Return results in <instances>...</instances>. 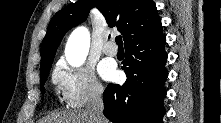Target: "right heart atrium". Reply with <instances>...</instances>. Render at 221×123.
<instances>
[{
  "label": "right heart atrium",
  "mask_w": 221,
  "mask_h": 123,
  "mask_svg": "<svg viewBox=\"0 0 221 123\" xmlns=\"http://www.w3.org/2000/svg\"><path fill=\"white\" fill-rule=\"evenodd\" d=\"M53 82L61 91L62 98L70 108H81L98 101L104 92L101 82L89 65L70 66L59 62L52 74Z\"/></svg>",
  "instance_id": "1"
}]
</instances>
